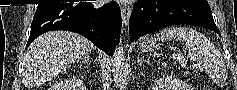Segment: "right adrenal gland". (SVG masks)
<instances>
[{
    "mask_svg": "<svg viewBox=\"0 0 237 90\" xmlns=\"http://www.w3.org/2000/svg\"><path fill=\"white\" fill-rule=\"evenodd\" d=\"M89 60H91L90 56H84V64H88Z\"/></svg>",
    "mask_w": 237,
    "mask_h": 90,
    "instance_id": "2a0ac1e0",
    "label": "right adrenal gland"
}]
</instances>
